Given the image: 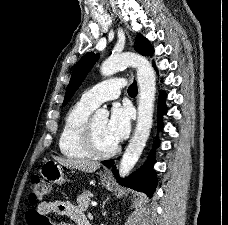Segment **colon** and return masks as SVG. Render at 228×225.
Instances as JSON below:
<instances>
[{
	"label": "colon",
	"instance_id": "colon-1",
	"mask_svg": "<svg viewBox=\"0 0 228 225\" xmlns=\"http://www.w3.org/2000/svg\"><path fill=\"white\" fill-rule=\"evenodd\" d=\"M29 190V203L33 206H38L42 203L43 197L49 195L50 188L46 186L42 178L34 176L30 181Z\"/></svg>",
	"mask_w": 228,
	"mask_h": 225
}]
</instances>
